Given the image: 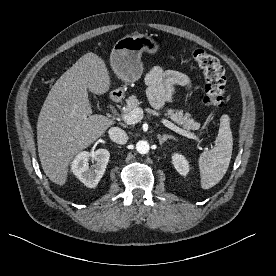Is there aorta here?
Returning a JSON list of instances; mask_svg holds the SVG:
<instances>
[{
  "instance_id": "obj_1",
  "label": "aorta",
  "mask_w": 276,
  "mask_h": 276,
  "mask_svg": "<svg viewBox=\"0 0 276 276\" xmlns=\"http://www.w3.org/2000/svg\"><path fill=\"white\" fill-rule=\"evenodd\" d=\"M136 150L140 154H147L150 150L149 143L144 140L138 141L136 144Z\"/></svg>"
}]
</instances>
